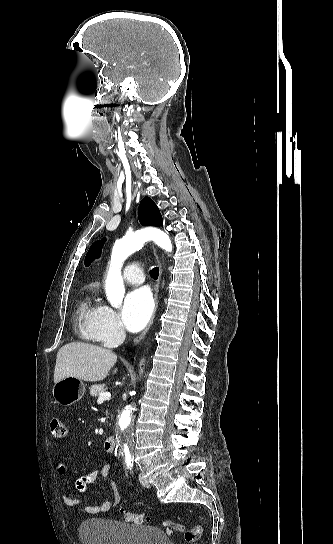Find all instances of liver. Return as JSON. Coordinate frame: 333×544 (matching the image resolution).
Instances as JSON below:
<instances>
[{"instance_id": "obj_1", "label": "liver", "mask_w": 333, "mask_h": 544, "mask_svg": "<svg viewBox=\"0 0 333 544\" xmlns=\"http://www.w3.org/2000/svg\"><path fill=\"white\" fill-rule=\"evenodd\" d=\"M117 361L110 349L96 345L71 342L57 353L54 383L65 377H76L87 382L103 380ZM117 369L114 370V373Z\"/></svg>"}]
</instances>
